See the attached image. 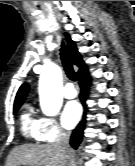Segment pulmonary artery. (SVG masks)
<instances>
[{"label":"pulmonary artery","instance_id":"pulmonary-artery-1","mask_svg":"<svg viewBox=\"0 0 135 166\" xmlns=\"http://www.w3.org/2000/svg\"><path fill=\"white\" fill-rule=\"evenodd\" d=\"M76 90L74 86L70 83H67L64 87L63 95L67 99H72L76 97Z\"/></svg>","mask_w":135,"mask_h":166}]
</instances>
